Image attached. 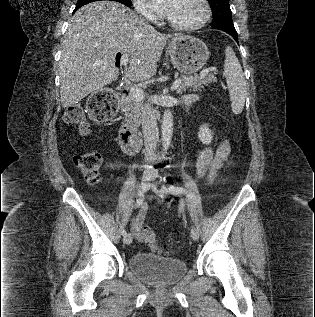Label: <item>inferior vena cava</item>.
<instances>
[{"label": "inferior vena cava", "instance_id": "1", "mask_svg": "<svg viewBox=\"0 0 315 317\" xmlns=\"http://www.w3.org/2000/svg\"><path fill=\"white\" fill-rule=\"evenodd\" d=\"M141 124L144 135L145 160L150 162L155 158V149L159 140L156 116L151 103H146L141 110ZM149 170V168H147Z\"/></svg>", "mask_w": 315, "mask_h": 317}]
</instances>
